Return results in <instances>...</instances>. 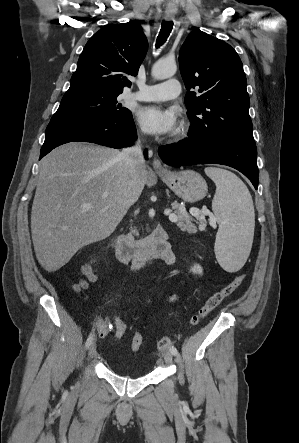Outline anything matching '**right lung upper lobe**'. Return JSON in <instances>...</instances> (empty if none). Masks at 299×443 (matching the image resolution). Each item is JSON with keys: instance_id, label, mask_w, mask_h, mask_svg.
Returning a JSON list of instances; mask_svg holds the SVG:
<instances>
[{"instance_id": "1", "label": "right lung upper lobe", "mask_w": 299, "mask_h": 443, "mask_svg": "<svg viewBox=\"0 0 299 443\" xmlns=\"http://www.w3.org/2000/svg\"><path fill=\"white\" fill-rule=\"evenodd\" d=\"M148 49L138 22L110 24L96 32L85 45L70 88L93 87L123 92L136 76Z\"/></svg>"}]
</instances>
